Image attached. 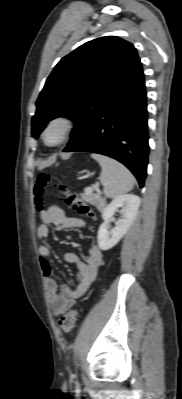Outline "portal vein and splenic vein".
Masks as SVG:
<instances>
[{"instance_id":"1","label":"portal vein and splenic vein","mask_w":182,"mask_h":399,"mask_svg":"<svg viewBox=\"0 0 182 399\" xmlns=\"http://www.w3.org/2000/svg\"><path fill=\"white\" fill-rule=\"evenodd\" d=\"M92 188H87L86 190H85V192L87 193V194H89L90 192H92Z\"/></svg>"}]
</instances>
